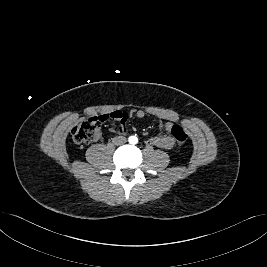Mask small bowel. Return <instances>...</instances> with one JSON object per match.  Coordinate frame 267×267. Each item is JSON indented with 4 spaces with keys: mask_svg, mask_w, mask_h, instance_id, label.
Wrapping results in <instances>:
<instances>
[{
    "mask_svg": "<svg viewBox=\"0 0 267 267\" xmlns=\"http://www.w3.org/2000/svg\"><path fill=\"white\" fill-rule=\"evenodd\" d=\"M124 113L126 115V119L122 120L120 117H118V113ZM110 119L116 120L119 122V125L116 127L111 128L112 132L116 133H121L124 134L126 133V127L125 123L127 121L128 116H135L136 118L142 119L145 117L146 113L143 110H136V111H131L129 114L122 112V111H112L109 114H106ZM174 125L172 120H169L165 124L162 123L161 119L158 122L159 128H164L166 131H170L171 127ZM151 143L155 145L156 147L162 148V149H167L170 150L174 147L175 145V139L170 136V135H156L153 138H151Z\"/></svg>",
    "mask_w": 267,
    "mask_h": 267,
    "instance_id": "c3829d8e",
    "label": "small bowel"
}]
</instances>
